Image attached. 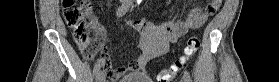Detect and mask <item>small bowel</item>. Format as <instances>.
Segmentation results:
<instances>
[{"label": "small bowel", "mask_w": 279, "mask_h": 82, "mask_svg": "<svg viewBox=\"0 0 279 82\" xmlns=\"http://www.w3.org/2000/svg\"><path fill=\"white\" fill-rule=\"evenodd\" d=\"M219 7L207 5L203 10L199 6L192 7L180 22L170 17L161 25H153L143 21L130 20L128 24L136 30L141 38L139 42L140 54L135 60L125 67H113L109 50L104 46L105 29L101 24L94 27L95 37L88 40L87 45L92 49V56L100 49L99 61L104 70L108 72V77L115 81L129 72L140 71L146 64L154 59L167 53L170 44L176 42L189 30L202 27L209 16L213 15ZM83 50L86 44L79 45ZM90 58V59H91ZM88 59V60H90Z\"/></svg>", "instance_id": "c3829d8e"}]
</instances>
